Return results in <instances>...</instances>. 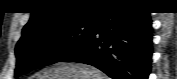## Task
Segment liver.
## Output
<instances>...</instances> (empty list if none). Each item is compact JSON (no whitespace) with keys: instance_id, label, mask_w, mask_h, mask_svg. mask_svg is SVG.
Here are the masks:
<instances>
[{"instance_id":"1","label":"liver","mask_w":177,"mask_h":79,"mask_svg":"<svg viewBox=\"0 0 177 79\" xmlns=\"http://www.w3.org/2000/svg\"><path fill=\"white\" fill-rule=\"evenodd\" d=\"M30 79H108V76L87 64L58 62Z\"/></svg>"}]
</instances>
